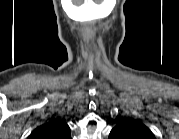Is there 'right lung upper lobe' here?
Here are the masks:
<instances>
[{
    "label": "right lung upper lobe",
    "instance_id": "right-lung-upper-lobe-1",
    "mask_svg": "<svg viewBox=\"0 0 179 139\" xmlns=\"http://www.w3.org/2000/svg\"><path fill=\"white\" fill-rule=\"evenodd\" d=\"M31 139H70L69 126L60 119L52 120L37 127L30 135Z\"/></svg>",
    "mask_w": 179,
    "mask_h": 139
}]
</instances>
